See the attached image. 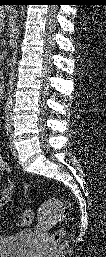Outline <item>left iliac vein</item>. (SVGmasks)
<instances>
[{"label": "left iliac vein", "mask_w": 106, "mask_h": 257, "mask_svg": "<svg viewBox=\"0 0 106 257\" xmlns=\"http://www.w3.org/2000/svg\"><path fill=\"white\" fill-rule=\"evenodd\" d=\"M9 147H10V149H11V151H12L13 153L16 152V148H15V146H14L12 134L10 135V138H9Z\"/></svg>", "instance_id": "obj_1"}]
</instances>
